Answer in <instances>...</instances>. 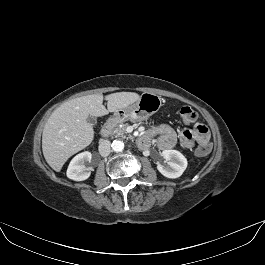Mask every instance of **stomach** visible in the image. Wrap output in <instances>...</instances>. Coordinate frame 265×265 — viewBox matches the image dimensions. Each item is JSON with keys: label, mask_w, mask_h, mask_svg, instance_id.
I'll list each match as a JSON object with an SVG mask.
<instances>
[{"label": "stomach", "mask_w": 265, "mask_h": 265, "mask_svg": "<svg viewBox=\"0 0 265 265\" xmlns=\"http://www.w3.org/2000/svg\"><path fill=\"white\" fill-rule=\"evenodd\" d=\"M162 105L161 98L153 93H143L139 100L114 112L116 120L142 121L156 113Z\"/></svg>", "instance_id": "0dacf381"}]
</instances>
